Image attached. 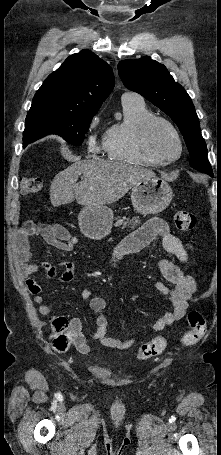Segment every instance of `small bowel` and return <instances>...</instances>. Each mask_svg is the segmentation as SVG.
Instances as JSON below:
<instances>
[{"instance_id": "1", "label": "small bowel", "mask_w": 221, "mask_h": 455, "mask_svg": "<svg viewBox=\"0 0 221 455\" xmlns=\"http://www.w3.org/2000/svg\"><path fill=\"white\" fill-rule=\"evenodd\" d=\"M32 236H40L47 244L63 252L71 251L79 243V238L58 223H35L32 220H27L20 227L16 252L18 260L22 265V274L28 278L27 286L29 291L34 295L33 301L37 304L40 314L50 315L52 309L46 304L45 299L41 295L42 288L32 276L40 270H45L48 277L58 278L62 282H69L74 276L73 265L69 262H63L61 265L64 267V272L58 275L54 266L49 263L31 262L32 253L29 247V238ZM156 239L159 240L162 247L168 253L174 255L180 261L184 268L188 266L189 256L180 239L169 230L168 225L163 220L154 218L141 228L130 233L115 248L110 257L111 267L114 270H118L125 256L139 252ZM158 268L163 278L170 283V286L157 281L155 287L161 294L168 298L172 309L156 320L152 326L154 332L162 331L186 316L188 301L197 288L195 280L185 273L184 268H181L175 263L165 258H160L158 260ZM81 297L90 301V309L96 315L97 329L91 335L92 339L98 340L102 345L116 350H126L136 343L137 339L133 336L127 338L107 336V319L104 315L106 304L103 298L95 296L90 289H84L81 292ZM71 327L77 350L83 354L88 353L90 346L87 343L86 336L82 332L80 320L73 318L71 320Z\"/></svg>"}]
</instances>
